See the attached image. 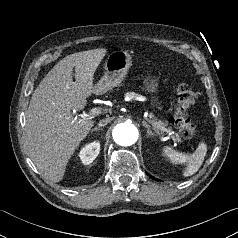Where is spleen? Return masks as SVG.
I'll return each mask as SVG.
<instances>
[{
  "label": "spleen",
  "instance_id": "obj_1",
  "mask_svg": "<svg viewBox=\"0 0 238 238\" xmlns=\"http://www.w3.org/2000/svg\"><path fill=\"white\" fill-rule=\"evenodd\" d=\"M207 153V146L205 143H199L195 152L191 155L183 154L181 152L175 151L171 147L163 148V155L169 159L172 163H187L186 170L184 171V176H191L195 174L204 161V157Z\"/></svg>",
  "mask_w": 238,
  "mask_h": 238
}]
</instances>
